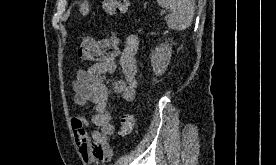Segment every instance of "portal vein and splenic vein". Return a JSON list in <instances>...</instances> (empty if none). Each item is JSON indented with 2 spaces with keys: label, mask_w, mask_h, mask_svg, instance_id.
<instances>
[{
  "label": "portal vein and splenic vein",
  "mask_w": 276,
  "mask_h": 165,
  "mask_svg": "<svg viewBox=\"0 0 276 165\" xmlns=\"http://www.w3.org/2000/svg\"><path fill=\"white\" fill-rule=\"evenodd\" d=\"M166 12H167V10H165V9L161 11V13H166Z\"/></svg>",
  "instance_id": "obj_1"
}]
</instances>
